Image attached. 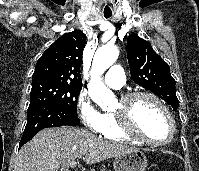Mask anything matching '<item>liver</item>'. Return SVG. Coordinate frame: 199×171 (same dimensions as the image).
I'll return each mask as SVG.
<instances>
[{"instance_id": "6515ba94", "label": "liver", "mask_w": 199, "mask_h": 171, "mask_svg": "<svg viewBox=\"0 0 199 171\" xmlns=\"http://www.w3.org/2000/svg\"><path fill=\"white\" fill-rule=\"evenodd\" d=\"M134 151L137 149L104 141L83 129L46 128L20 149L14 171H58L78 157L84 156L87 164H95Z\"/></svg>"}]
</instances>
